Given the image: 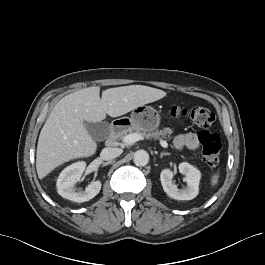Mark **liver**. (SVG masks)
<instances>
[{
  "instance_id": "6515ba94",
  "label": "liver",
  "mask_w": 265,
  "mask_h": 265,
  "mask_svg": "<svg viewBox=\"0 0 265 265\" xmlns=\"http://www.w3.org/2000/svg\"><path fill=\"white\" fill-rule=\"evenodd\" d=\"M88 87L63 97L53 108L41 129L36 152V170L39 179L69 160L90 157L97 143L84 123L101 122L106 118L124 115L138 106L162 99L166 92L160 89L129 85L109 88Z\"/></svg>"
}]
</instances>
